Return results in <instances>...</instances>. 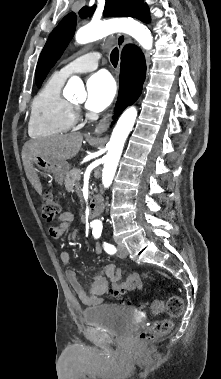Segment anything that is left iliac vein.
I'll list each match as a JSON object with an SVG mask.
<instances>
[{
	"label": "left iliac vein",
	"mask_w": 221,
	"mask_h": 379,
	"mask_svg": "<svg viewBox=\"0 0 221 379\" xmlns=\"http://www.w3.org/2000/svg\"><path fill=\"white\" fill-rule=\"evenodd\" d=\"M118 256L121 258H126L128 251L123 243H118Z\"/></svg>",
	"instance_id": "left-iliac-vein-1"
}]
</instances>
